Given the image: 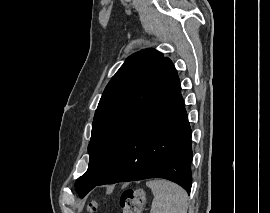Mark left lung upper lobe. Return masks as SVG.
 Returning <instances> with one entry per match:
<instances>
[{
	"label": "left lung upper lobe",
	"instance_id": "left-lung-upper-lobe-1",
	"mask_svg": "<svg viewBox=\"0 0 270 213\" xmlns=\"http://www.w3.org/2000/svg\"><path fill=\"white\" fill-rule=\"evenodd\" d=\"M178 84L173 63L155 49L126 59L106 86L95 112L89 166L75 183L80 196L102 180L139 125Z\"/></svg>",
	"mask_w": 270,
	"mask_h": 213
}]
</instances>
